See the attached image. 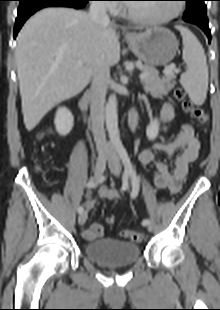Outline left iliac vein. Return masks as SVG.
Returning a JSON list of instances; mask_svg holds the SVG:
<instances>
[{
  "label": "left iliac vein",
  "instance_id": "1",
  "mask_svg": "<svg viewBox=\"0 0 220 310\" xmlns=\"http://www.w3.org/2000/svg\"><path fill=\"white\" fill-rule=\"evenodd\" d=\"M109 169L110 171L118 176L121 172V163H120V159L117 155H112L110 160H109ZM147 229L152 232L153 231V224L149 221V223L146 225Z\"/></svg>",
  "mask_w": 220,
  "mask_h": 310
}]
</instances>
